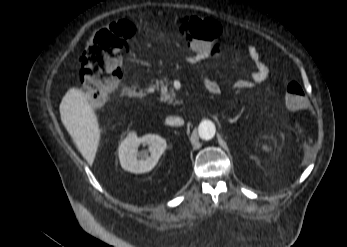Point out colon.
Segmentation results:
<instances>
[{"label": "colon", "instance_id": "5ec220e1", "mask_svg": "<svg viewBox=\"0 0 347 247\" xmlns=\"http://www.w3.org/2000/svg\"><path fill=\"white\" fill-rule=\"evenodd\" d=\"M177 31L193 50H205L222 35L221 25L210 18L188 15L177 21ZM136 32L128 20H116L98 31L80 59V78L92 100L103 103L122 77L124 49ZM285 105L292 110L307 106L303 86L296 81L287 84Z\"/></svg>", "mask_w": 347, "mask_h": 247}]
</instances>
